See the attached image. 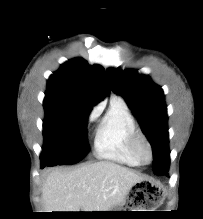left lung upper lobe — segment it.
I'll return each mask as SVG.
<instances>
[{"label": "left lung upper lobe", "instance_id": "1", "mask_svg": "<svg viewBox=\"0 0 203 219\" xmlns=\"http://www.w3.org/2000/svg\"><path fill=\"white\" fill-rule=\"evenodd\" d=\"M107 77L113 92L121 95L138 119L153 149V171L161 174L169 167L167 108L163 90L146 75L135 70L110 68Z\"/></svg>", "mask_w": 203, "mask_h": 219}]
</instances>
